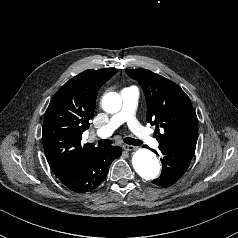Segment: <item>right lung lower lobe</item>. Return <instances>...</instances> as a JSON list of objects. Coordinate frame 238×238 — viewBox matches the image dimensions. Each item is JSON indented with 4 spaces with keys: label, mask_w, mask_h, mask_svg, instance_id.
I'll use <instances>...</instances> for the list:
<instances>
[{
    "label": "right lung lower lobe",
    "mask_w": 238,
    "mask_h": 238,
    "mask_svg": "<svg viewBox=\"0 0 238 238\" xmlns=\"http://www.w3.org/2000/svg\"><path fill=\"white\" fill-rule=\"evenodd\" d=\"M121 153L122 149L118 146L98 147L59 180L74 192H89L105 180L110 164Z\"/></svg>",
    "instance_id": "1"
}]
</instances>
